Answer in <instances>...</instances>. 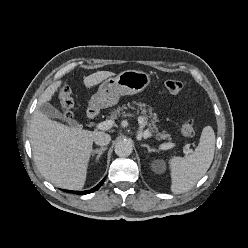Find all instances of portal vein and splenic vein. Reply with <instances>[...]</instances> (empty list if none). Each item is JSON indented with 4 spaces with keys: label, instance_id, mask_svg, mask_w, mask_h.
Here are the masks:
<instances>
[{
    "label": "portal vein and splenic vein",
    "instance_id": "portal-vein-and-splenic-vein-1",
    "mask_svg": "<svg viewBox=\"0 0 248 248\" xmlns=\"http://www.w3.org/2000/svg\"><path fill=\"white\" fill-rule=\"evenodd\" d=\"M113 125H114L113 120H106V121L98 123L96 127L99 130H109L113 127ZM141 136L144 138H148L150 136V132L148 130H145L143 133H141ZM174 146H175L174 143H164L160 146V149H162V150L170 149ZM186 148H187V150H185V153L188 154L189 153L188 147H186Z\"/></svg>",
    "mask_w": 248,
    "mask_h": 248
}]
</instances>
